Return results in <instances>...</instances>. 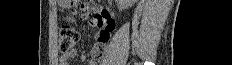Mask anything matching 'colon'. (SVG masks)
I'll return each instance as SVG.
<instances>
[{
    "label": "colon",
    "mask_w": 232,
    "mask_h": 65,
    "mask_svg": "<svg viewBox=\"0 0 232 65\" xmlns=\"http://www.w3.org/2000/svg\"><path fill=\"white\" fill-rule=\"evenodd\" d=\"M76 12H89L92 9L93 2L89 0H78L74 1ZM103 35L101 39H104ZM79 41L78 31L70 24L64 25L60 30L59 36V47L63 52H68L73 49V47ZM103 55V45L101 43L97 44L95 48V59H100Z\"/></svg>",
    "instance_id": "colon-1"
}]
</instances>
